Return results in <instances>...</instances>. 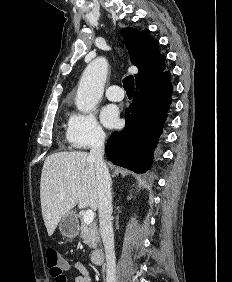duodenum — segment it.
<instances>
[{
	"label": "duodenum",
	"instance_id": "obj_1",
	"mask_svg": "<svg viewBox=\"0 0 232 282\" xmlns=\"http://www.w3.org/2000/svg\"><path fill=\"white\" fill-rule=\"evenodd\" d=\"M91 260L95 265H101L104 260L103 250L99 247L94 248L91 253Z\"/></svg>",
	"mask_w": 232,
	"mask_h": 282
}]
</instances>
